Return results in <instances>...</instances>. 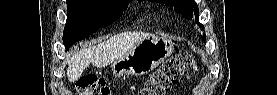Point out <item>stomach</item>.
Returning a JSON list of instances; mask_svg holds the SVG:
<instances>
[{
    "instance_id": "obj_1",
    "label": "stomach",
    "mask_w": 277,
    "mask_h": 95,
    "mask_svg": "<svg viewBox=\"0 0 277 95\" xmlns=\"http://www.w3.org/2000/svg\"><path fill=\"white\" fill-rule=\"evenodd\" d=\"M173 50L171 40L157 36L146 38L112 64L113 74L116 77L147 74L168 58Z\"/></svg>"
}]
</instances>
